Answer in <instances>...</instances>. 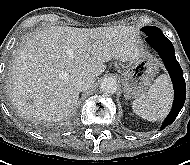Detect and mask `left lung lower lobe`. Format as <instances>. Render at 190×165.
Returning a JSON list of instances; mask_svg holds the SVG:
<instances>
[{"label":"left lung lower lobe","mask_w":190,"mask_h":165,"mask_svg":"<svg viewBox=\"0 0 190 165\" xmlns=\"http://www.w3.org/2000/svg\"><path fill=\"white\" fill-rule=\"evenodd\" d=\"M162 58L168 70L174 87V102L172 109L165 118L161 130L172 124L185 102L186 84L183 78V71L176 60L172 43L164 35H159L147 41Z\"/></svg>","instance_id":"1"}]
</instances>
